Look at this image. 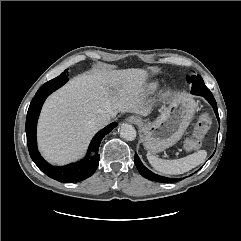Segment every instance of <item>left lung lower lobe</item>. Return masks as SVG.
Masks as SVG:
<instances>
[{"label": "left lung lower lobe", "mask_w": 241, "mask_h": 241, "mask_svg": "<svg viewBox=\"0 0 241 241\" xmlns=\"http://www.w3.org/2000/svg\"><path fill=\"white\" fill-rule=\"evenodd\" d=\"M187 80H188L189 83L192 82L191 93L195 94V95L203 96L211 104V106L213 107L214 112H215V114H216V116H217V118L219 120L217 104H216V101H215L212 93L210 92V90L209 89H207V90L202 89V87L199 86L197 83H195L194 80L191 79L190 77H187ZM135 164H136L140 174L143 177H145V178H147L149 180H152V181L162 182V183H171V182H177V181H180V180L183 179V178H179V179L168 178V177H163V176H159V175H156V174L152 173L150 170H148L142 164V162L140 161V159H139L137 154H135Z\"/></svg>", "instance_id": "left-lung-lower-lobe-1"}]
</instances>
